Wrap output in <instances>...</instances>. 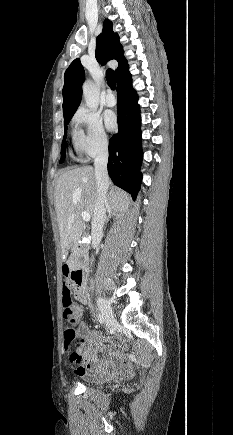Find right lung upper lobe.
Instances as JSON below:
<instances>
[{
  "label": "right lung upper lobe",
  "instance_id": "1",
  "mask_svg": "<svg viewBox=\"0 0 233 435\" xmlns=\"http://www.w3.org/2000/svg\"><path fill=\"white\" fill-rule=\"evenodd\" d=\"M96 59L102 65L111 59L118 61L115 71L116 79L119 80L129 74L127 60L124 57L123 46L119 42V36L113 32L112 22L104 20L102 33L96 40ZM85 79V73L80 59H75L64 74L63 87V114L64 117L73 116L77 110L81 98V87Z\"/></svg>",
  "mask_w": 233,
  "mask_h": 435
}]
</instances>
